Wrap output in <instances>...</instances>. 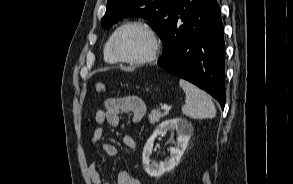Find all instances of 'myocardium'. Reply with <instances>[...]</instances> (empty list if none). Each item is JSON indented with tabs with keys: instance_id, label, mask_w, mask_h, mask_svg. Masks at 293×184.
Listing matches in <instances>:
<instances>
[{
	"instance_id": "myocardium-1",
	"label": "myocardium",
	"mask_w": 293,
	"mask_h": 184,
	"mask_svg": "<svg viewBox=\"0 0 293 184\" xmlns=\"http://www.w3.org/2000/svg\"><path fill=\"white\" fill-rule=\"evenodd\" d=\"M128 27H139L148 33L152 44H151V49L147 55L140 58L131 59V58H125L117 52L116 45H115L117 36L122 30ZM110 50L113 57L117 60V62H122L126 64H131V65H141V64L152 62L158 57L161 51V41L159 39V36L156 30L150 24L144 21L134 20V21H129L122 24L114 31L110 40Z\"/></svg>"
}]
</instances>
